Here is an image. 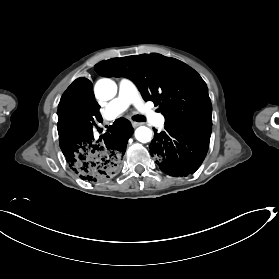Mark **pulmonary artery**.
<instances>
[{"mask_svg": "<svg viewBox=\"0 0 279 279\" xmlns=\"http://www.w3.org/2000/svg\"><path fill=\"white\" fill-rule=\"evenodd\" d=\"M133 104L141 109L142 102L136 98L133 83L128 79L118 81V95L107 103L102 109L104 117L108 120L121 116Z\"/></svg>", "mask_w": 279, "mask_h": 279, "instance_id": "obj_1", "label": "pulmonary artery"}]
</instances>
